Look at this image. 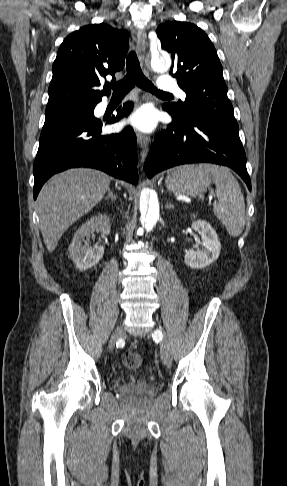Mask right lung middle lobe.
Segmentation results:
<instances>
[{"label": "right lung middle lobe", "mask_w": 287, "mask_h": 486, "mask_svg": "<svg viewBox=\"0 0 287 486\" xmlns=\"http://www.w3.org/2000/svg\"><path fill=\"white\" fill-rule=\"evenodd\" d=\"M94 103H79L68 106L46 109L44 126H49L66 120L83 118L89 115Z\"/></svg>", "instance_id": "dd1d6c3e"}]
</instances>
